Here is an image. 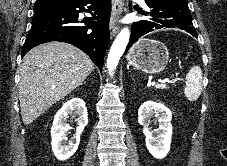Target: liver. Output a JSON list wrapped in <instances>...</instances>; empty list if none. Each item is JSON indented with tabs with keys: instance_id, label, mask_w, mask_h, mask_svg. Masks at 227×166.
I'll return each mask as SVG.
<instances>
[{
	"instance_id": "liver-1",
	"label": "liver",
	"mask_w": 227,
	"mask_h": 166,
	"mask_svg": "<svg viewBox=\"0 0 227 166\" xmlns=\"http://www.w3.org/2000/svg\"><path fill=\"white\" fill-rule=\"evenodd\" d=\"M94 63L77 47L49 42L31 49L20 73L19 101L25 125L70 94L93 71Z\"/></svg>"
}]
</instances>
